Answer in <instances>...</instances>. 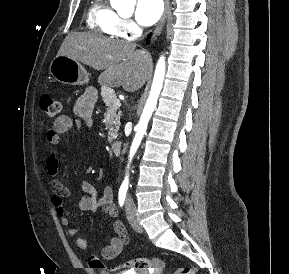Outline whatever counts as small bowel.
I'll list each match as a JSON object with an SVG mask.
<instances>
[{
    "mask_svg": "<svg viewBox=\"0 0 289 274\" xmlns=\"http://www.w3.org/2000/svg\"><path fill=\"white\" fill-rule=\"evenodd\" d=\"M96 102V93L89 90L77 99L75 112L80 120L76 121V128H81L82 123L86 127L92 126V113ZM74 126L73 120L67 115L57 117L46 134L48 154L46 158V170L50 177V189L52 191L51 204L54 207L62 225L67 227L70 236L76 237V245L81 250L88 249V242L85 238L77 236L78 229L69 225L68 212L64 205V199L70 196V190L58 178L59 161L57 157V146L61 136L71 130ZM82 196L79 199L78 207L81 211H96L102 209L104 213L114 219L113 230L115 236L110 239L102 251V257L107 260L114 259L128 244L129 238L123 223L118 219V209L114 203V193L111 185H107L101 197H98L93 184L83 181L81 184Z\"/></svg>",
    "mask_w": 289,
    "mask_h": 274,
    "instance_id": "c3829d8e",
    "label": "small bowel"
}]
</instances>
